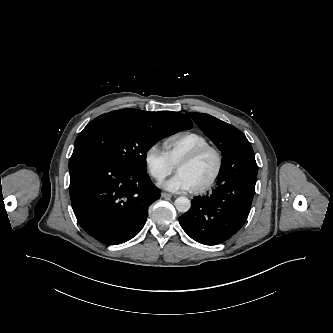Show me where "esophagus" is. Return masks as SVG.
Wrapping results in <instances>:
<instances>
[{"label": "esophagus", "mask_w": 333, "mask_h": 333, "mask_svg": "<svg viewBox=\"0 0 333 333\" xmlns=\"http://www.w3.org/2000/svg\"><path fill=\"white\" fill-rule=\"evenodd\" d=\"M161 197H162V198H167V199H168V198H171L172 195L169 194V193H166V192H162V193H161Z\"/></svg>", "instance_id": "obj_1"}]
</instances>
